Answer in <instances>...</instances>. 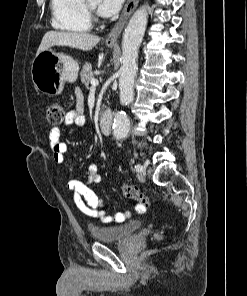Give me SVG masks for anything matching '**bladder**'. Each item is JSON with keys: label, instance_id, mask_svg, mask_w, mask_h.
I'll use <instances>...</instances> for the list:
<instances>
[{"label": "bladder", "instance_id": "31cf9c89", "mask_svg": "<svg viewBox=\"0 0 247 296\" xmlns=\"http://www.w3.org/2000/svg\"><path fill=\"white\" fill-rule=\"evenodd\" d=\"M142 227V221L131 220L114 226L91 227L92 236L100 242H114L124 240Z\"/></svg>", "mask_w": 247, "mask_h": 296}]
</instances>
